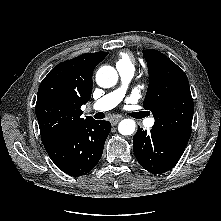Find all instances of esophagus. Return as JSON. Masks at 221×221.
<instances>
[{"instance_id":"obj_1","label":"esophagus","mask_w":221,"mask_h":221,"mask_svg":"<svg viewBox=\"0 0 221 221\" xmlns=\"http://www.w3.org/2000/svg\"><path fill=\"white\" fill-rule=\"evenodd\" d=\"M121 120V117H115L111 120L112 125L118 124V122Z\"/></svg>"}]
</instances>
